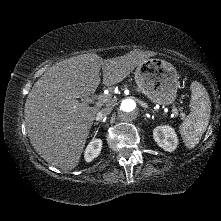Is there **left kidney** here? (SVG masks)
<instances>
[{"mask_svg":"<svg viewBox=\"0 0 221 221\" xmlns=\"http://www.w3.org/2000/svg\"><path fill=\"white\" fill-rule=\"evenodd\" d=\"M155 142L165 151L172 152L178 145V137L169 125L158 126L153 130Z\"/></svg>","mask_w":221,"mask_h":221,"instance_id":"left-kidney-1","label":"left kidney"}]
</instances>
